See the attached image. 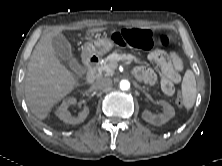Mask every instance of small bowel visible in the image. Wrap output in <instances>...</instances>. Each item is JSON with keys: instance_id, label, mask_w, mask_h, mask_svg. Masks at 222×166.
I'll return each mask as SVG.
<instances>
[{"instance_id": "1", "label": "small bowel", "mask_w": 222, "mask_h": 166, "mask_svg": "<svg viewBox=\"0 0 222 166\" xmlns=\"http://www.w3.org/2000/svg\"><path fill=\"white\" fill-rule=\"evenodd\" d=\"M150 59L156 62L162 71V90L166 95L174 94V83L180 81V73L183 70V62L180 56L175 52L166 53L162 50H156L151 53ZM137 79L147 84L156 82L155 73L146 67H137L134 70Z\"/></svg>"}]
</instances>
